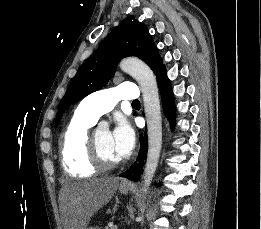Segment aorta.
<instances>
[{"mask_svg":"<svg viewBox=\"0 0 261 229\" xmlns=\"http://www.w3.org/2000/svg\"><path fill=\"white\" fill-rule=\"evenodd\" d=\"M119 66L123 72H128L130 76L137 80L142 90L148 135L147 161L144 169V187L142 189L146 193L154 179L162 149V112L158 86L153 70L140 58L128 56V58L121 60ZM108 131L107 123L102 121L98 125L96 139L104 137Z\"/></svg>","mask_w":261,"mask_h":229,"instance_id":"obj_1","label":"aorta"}]
</instances>
